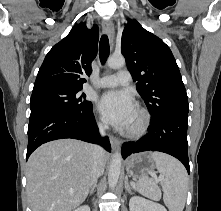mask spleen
Segmentation results:
<instances>
[{"label":"spleen","mask_w":221,"mask_h":211,"mask_svg":"<svg viewBox=\"0 0 221 211\" xmlns=\"http://www.w3.org/2000/svg\"><path fill=\"white\" fill-rule=\"evenodd\" d=\"M151 156L161 179L154 180L147 176L140 177L138 191L142 195L158 201L162 196L158 187V181H160L163 189V201L169 211H183L188 190L186 169L178 160L167 154L153 152Z\"/></svg>","instance_id":"spleen-1"}]
</instances>
